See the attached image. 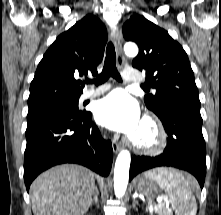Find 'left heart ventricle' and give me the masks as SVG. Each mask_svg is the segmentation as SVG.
<instances>
[{
    "instance_id": "obj_1",
    "label": "left heart ventricle",
    "mask_w": 221,
    "mask_h": 215,
    "mask_svg": "<svg viewBox=\"0 0 221 215\" xmlns=\"http://www.w3.org/2000/svg\"><path fill=\"white\" fill-rule=\"evenodd\" d=\"M134 137L140 141H145L149 138V132L145 126L141 125Z\"/></svg>"
}]
</instances>
